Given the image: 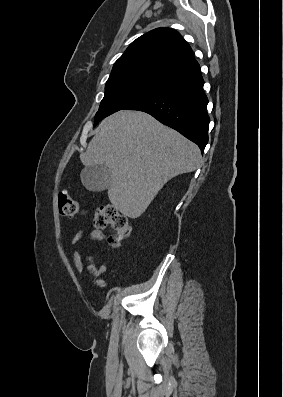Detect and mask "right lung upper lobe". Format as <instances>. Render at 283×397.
I'll list each match as a JSON object with an SVG mask.
<instances>
[{"label": "right lung upper lobe", "instance_id": "obj_1", "mask_svg": "<svg viewBox=\"0 0 283 397\" xmlns=\"http://www.w3.org/2000/svg\"><path fill=\"white\" fill-rule=\"evenodd\" d=\"M200 70L188 43L169 28L154 29L133 41L110 75L146 73L171 82Z\"/></svg>", "mask_w": 283, "mask_h": 397}]
</instances>
